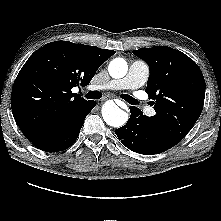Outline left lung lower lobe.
I'll list each match as a JSON object with an SVG mask.
<instances>
[{
  "label": "left lung lower lobe",
  "mask_w": 221,
  "mask_h": 221,
  "mask_svg": "<svg viewBox=\"0 0 221 221\" xmlns=\"http://www.w3.org/2000/svg\"><path fill=\"white\" fill-rule=\"evenodd\" d=\"M130 112L126 125L115 131L124 146L144 155L158 154L174 146L163 138L159 129L139 108L131 106Z\"/></svg>",
  "instance_id": "0a47b994"
}]
</instances>
